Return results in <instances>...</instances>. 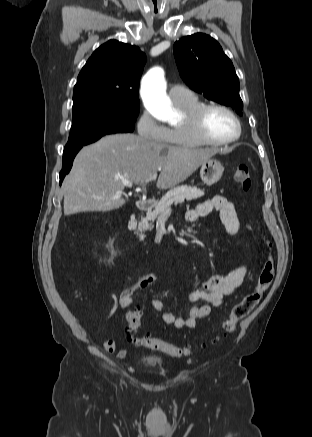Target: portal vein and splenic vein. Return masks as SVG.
<instances>
[{
  "label": "portal vein and splenic vein",
  "instance_id": "1",
  "mask_svg": "<svg viewBox=\"0 0 312 437\" xmlns=\"http://www.w3.org/2000/svg\"><path fill=\"white\" fill-rule=\"evenodd\" d=\"M157 178V173H154L149 176V178L145 181L146 183L151 182ZM122 183L127 187H132L133 183L129 180H122ZM171 208H169L167 211H170Z\"/></svg>",
  "mask_w": 312,
  "mask_h": 437
}]
</instances>
